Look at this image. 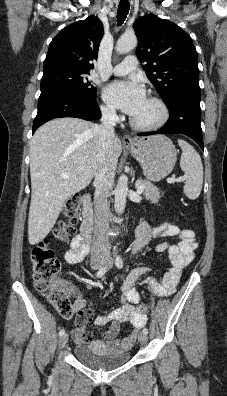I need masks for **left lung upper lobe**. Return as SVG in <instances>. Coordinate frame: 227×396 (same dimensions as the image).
Instances as JSON below:
<instances>
[{"mask_svg":"<svg viewBox=\"0 0 227 396\" xmlns=\"http://www.w3.org/2000/svg\"><path fill=\"white\" fill-rule=\"evenodd\" d=\"M137 56L164 103L182 91H200L198 55L191 37L176 24L147 14L134 22Z\"/></svg>","mask_w":227,"mask_h":396,"instance_id":"left-lung-upper-lobe-1","label":"left lung upper lobe"}]
</instances>
